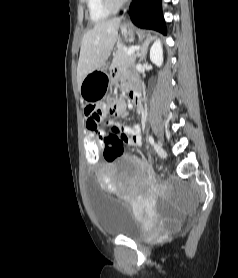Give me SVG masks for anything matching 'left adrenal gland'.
<instances>
[{
  "label": "left adrenal gland",
  "mask_w": 238,
  "mask_h": 278,
  "mask_svg": "<svg viewBox=\"0 0 238 278\" xmlns=\"http://www.w3.org/2000/svg\"><path fill=\"white\" fill-rule=\"evenodd\" d=\"M154 37L153 36H149L144 43L142 44V47L139 50L138 55L140 56V61H142L145 58V55L147 53V49L149 44L153 41Z\"/></svg>",
  "instance_id": "1"
}]
</instances>
